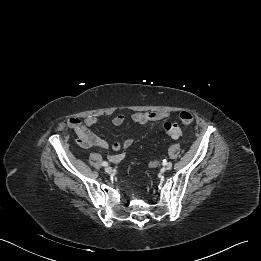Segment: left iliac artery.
<instances>
[{
  "label": "left iliac artery",
  "mask_w": 261,
  "mask_h": 261,
  "mask_svg": "<svg viewBox=\"0 0 261 261\" xmlns=\"http://www.w3.org/2000/svg\"><path fill=\"white\" fill-rule=\"evenodd\" d=\"M167 164V161L164 159L163 160V165H166Z\"/></svg>",
  "instance_id": "44dca946"
}]
</instances>
